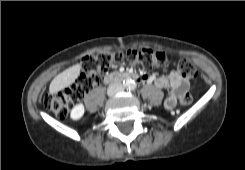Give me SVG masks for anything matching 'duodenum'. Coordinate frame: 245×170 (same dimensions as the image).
Returning a JSON list of instances; mask_svg holds the SVG:
<instances>
[{"mask_svg": "<svg viewBox=\"0 0 245 170\" xmlns=\"http://www.w3.org/2000/svg\"><path fill=\"white\" fill-rule=\"evenodd\" d=\"M123 79L140 80V76L134 73H110L105 77V81L108 83L116 82Z\"/></svg>", "mask_w": 245, "mask_h": 170, "instance_id": "obj_1", "label": "duodenum"}]
</instances>
